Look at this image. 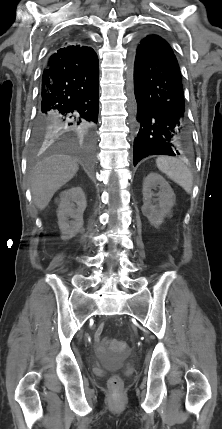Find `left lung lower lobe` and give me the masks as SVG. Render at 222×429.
Here are the masks:
<instances>
[{
    "mask_svg": "<svg viewBox=\"0 0 222 429\" xmlns=\"http://www.w3.org/2000/svg\"><path fill=\"white\" fill-rule=\"evenodd\" d=\"M134 166L151 155H180L190 148L181 73L161 36L139 39L130 53Z\"/></svg>",
    "mask_w": 222,
    "mask_h": 429,
    "instance_id": "left-lung-lower-lobe-1",
    "label": "left lung lower lobe"
}]
</instances>
